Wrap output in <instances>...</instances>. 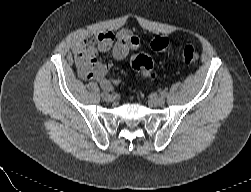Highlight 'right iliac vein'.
Here are the masks:
<instances>
[{
  "label": "right iliac vein",
  "mask_w": 251,
  "mask_h": 192,
  "mask_svg": "<svg viewBox=\"0 0 251 192\" xmlns=\"http://www.w3.org/2000/svg\"><path fill=\"white\" fill-rule=\"evenodd\" d=\"M115 97L112 94H107V96L105 97V100L108 102H112L114 101Z\"/></svg>",
  "instance_id": "obj_1"
}]
</instances>
